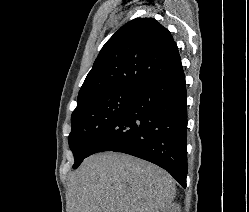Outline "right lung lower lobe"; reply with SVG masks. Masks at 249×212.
Listing matches in <instances>:
<instances>
[{
	"mask_svg": "<svg viewBox=\"0 0 249 212\" xmlns=\"http://www.w3.org/2000/svg\"><path fill=\"white\" fill-rule=\"evenodd\" d=\"M186 84L183 68L141 89L88 155L122 152L167 170L186 187Z\"/></svg>",
	"mask_w": 249,
	"mask_h": 212,
	"instance_id": "1",
	"label": "right lung lower lobe"
}]
</instances>
